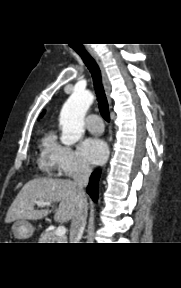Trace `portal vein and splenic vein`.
Wrapping results in <instances>:
<instances>
[{
    "label": "portal vein and splenic vein",
    "instance_id": "portal-vein-and-splenic-vein-1",
    "mask_svg": "<svg viewBox=\"0 0 181 288\" xmlns=\"http://www.w3.org/2000/svg\"><path fill=\"white\" fill-rule=\"evenodd\" d=\"M36 204H37V206H39V207H42V206H50V205H51V203H49V202H40V201H38ZM55 234H56L57 236H60V237L64 236V235L66 234V228H65L64 226H59V227L55 230Z\"/></svg>",
    "mask_w": 181,
    "mask_h": 288
}]
</instances>
